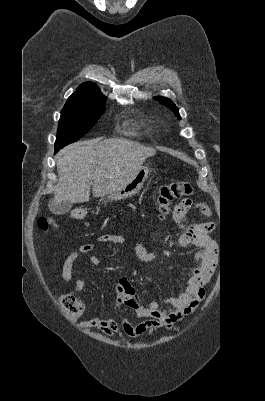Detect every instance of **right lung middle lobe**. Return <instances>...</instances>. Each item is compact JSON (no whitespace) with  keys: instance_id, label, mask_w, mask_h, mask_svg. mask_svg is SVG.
<instances>
[{"instance_id":"right-lung-middle-lobe-1","label":"right lung middle lobe","mask_w":265,"mask_h":401,"mask_svg":"<svg viewBox=\"0 0 265 401\" xmlns=\"http://www.w3.org/2000/svg\"><path fill=\"white\" fill-rule=\"evenodd\" d=\"M105 103L99 101L64 106L58 124L55 152L87 133L104 113Z\"/></svg>"}]
</instances>
